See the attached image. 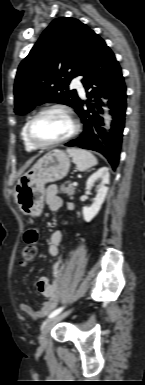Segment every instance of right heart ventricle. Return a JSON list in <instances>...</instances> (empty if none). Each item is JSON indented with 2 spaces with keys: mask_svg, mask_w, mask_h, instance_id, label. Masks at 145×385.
Wrapping results in <instances>:
<instances>
[{
  "mask_svg": "<svg viewBox=\"0 0 145 385\" xmlns=\"http://www.w3.org/2000/svg\"><path fill=\"white\" fill-rule=\"evenodd\" d=\"M27 123L26 122L22 128V131H21V138H22V141H23V144H24V147L25 149L28 151V152H33L35 151V149L28 143L27 141V138H26V127H27Z\"/></svg>",
  "mask_w": 145,
  "mask_h": 385,
  "instance_id": "e07e8e85",
  "label": "right heart ventricle"
}]
</instances>
